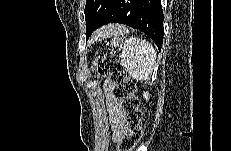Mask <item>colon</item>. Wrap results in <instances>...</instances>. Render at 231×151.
<instances>
[{
	"label": "colon",
	"mask_w": 231,
	"mask_h": 151,
	"mask_svg": "<svg viewBox=\"0 0 231 151\" xmlns=\"http://www.w3.org/2000/svg\"><path fill=\"white\" fill-rule=\"evenodd\" d=\"M94 68L96 72L109 77L113 96L119 103L126 123L127 129L118 140L117 151H131L142 136V112L139 108V99L135 94V83L112 54L98 55L94 60Z\"/></svg>",
	"instance_id": "obj_1"
}]
</instances>
